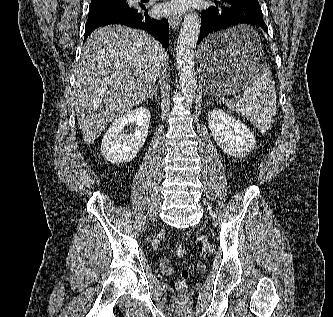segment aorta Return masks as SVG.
I'll return each mask as SVG.
<instances>
[{"label":"aorta","instance_id":"1","mask_svg":"<svg viewBox=\"0 0 333 317\" xmlns=\"http://www.w3.org/2000/svg\"><path fill=\"white\" fill-rule=\"evenodd\" d=\"M199 34L200 18L195 11H190L182 22L176 49L179 83L187 104L193 102L197 90L194 54Z\"/></svg>","mask_w":333,"mask_h":317}]
</instances>
